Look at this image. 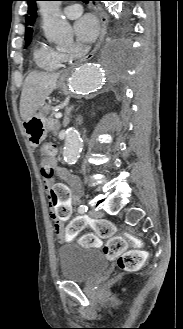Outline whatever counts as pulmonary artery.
I'll return each mask as SVG.
<instances>
[{
  "label": "pulmonary artery",
  "instance_id": "e3ab8cb5",
  "mask_svg": "<svg viewBox=\"0 0 183 329\" xmlns=\"http://www.w3.org/2000/svg\"><path fill=\"white\" fill-rule=\"evenodd\" d=\"M82 12L83 8L80 4H71L64 8V15L69 19H75L79 17Z\"/></svg>",
  "mask_w": 183,
  "mask_h": 329
}]
</instances>
